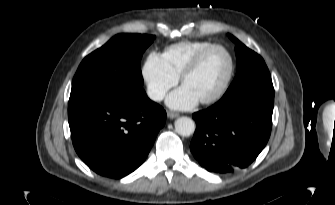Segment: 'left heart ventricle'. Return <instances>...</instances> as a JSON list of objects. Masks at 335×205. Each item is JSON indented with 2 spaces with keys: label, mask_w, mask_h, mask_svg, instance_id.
Listing matches in <instances>:
<instances>
[{
  "label": "left heart ventricle",
  "mask_w": 335,
  "mask_h": 205,
  "mask_svg": "<svg viewBox=\"0 0 335 205\" xmlns=\"http://www.w3.org/2000/svg\"><path fill=\"white\" fill-rule=\"evenodd\" d=\"M230 68L227 54L221 49L212 50L207 54L199 69L189 76L184 86L188 88L198 100L213 95L222 85Z\"/></svg>",
  "instance_id": "b2bd125f"
}]
</instances>
